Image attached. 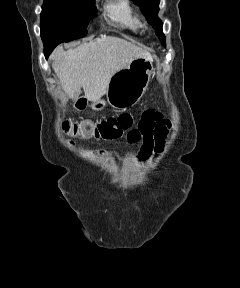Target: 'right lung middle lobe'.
<instances>
[{
	"label": "right lung middle lobe",
	"mask_w": 240,
	"mask_h": 288,
	"mask_svg": "<svg viewBox=\"0 0 240 288\" xmlns=\"http://www.w3.org/2000/svg\"><path fill=\"white\" fill-rule=\"evenodd\" d=\"M95 0H44L40 16L44 48L84 37L96 15Z\"/></svg>",
	"instance_id": "right-lung-middle-lobe-1"
}]
</instances>
